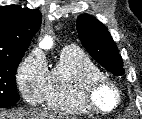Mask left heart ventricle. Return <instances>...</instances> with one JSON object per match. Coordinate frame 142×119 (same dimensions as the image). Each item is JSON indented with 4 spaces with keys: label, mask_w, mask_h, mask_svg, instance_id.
Returning <instances> with one entry per match:
<instances>
[{
    "label": "left heart ventricle",
    "mask_w": 142,
    "mask_h": 119,
    "mask_svg": "<svg viewBox=\"0 0 142 119\" xmlns=\"http://www.w3.org/2000/svg\"><path fill=\"white\" fill-rule=\"evenodd\" d=\"M100 101L104 107H109L113 103V96L111 92L105 91L100 94Z\"/></svg>",
    "instance_id": "left-heart-ventricle-1"
}]
</instances>
